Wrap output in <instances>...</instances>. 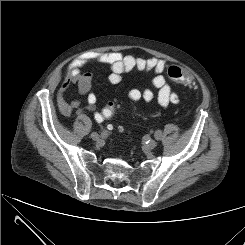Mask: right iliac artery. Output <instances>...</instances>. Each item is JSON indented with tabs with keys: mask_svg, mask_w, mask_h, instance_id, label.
Listing matches in <instances>:
<instances>
[{
	"mask_svg": "<svg viewBox=\"0 0 245 245\" xmlns=\"http://www.w3.org/2000/svg\"><path fill=\"white\" fill-rule=\"evenodd\" d=\"M107 135L106 131H103V133L101 134L102 137H105Z\"/></svg>",
	"mask_w": 245,
	"mask_h": 245,
	"instance_id": "right-iliac-artery-1",
	"label": "right iliac artery"
}]
</instances>
